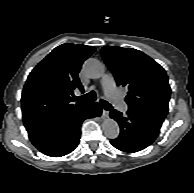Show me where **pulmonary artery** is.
Returning <instances> with one entry per match:
<instances>
[{"label":"pulmonary artery","instance_id":"pulmonary-artery-1","mask_svg":"<svg viewBox=\"0 0 194 193\" xmlns=\"http://www.w3.org/2000/svg\"><path fill=\"white\" fill-rule=\"evenodd\" d=\"M101 84L104 88L106 97L111 101V103L119 110L125 111L127 108L126 104L115 87L112 75L105 74L101 80Z\"/></svg>","mask_w":194,"mask_h":193}]
</instances>
